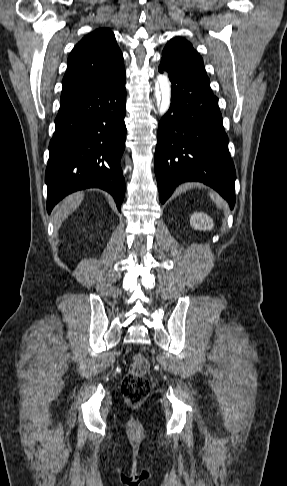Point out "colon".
Listing matches in <instances>:
<instances>
[{"instance_id": "obj_1", "label": "colon", "mask_w": 287, "mask_h": 486, "mask_svg": "<svg viewBox=\"0 0 287 486\" xmlns=\"http://www.w3.org/2000/svg\"><path fill=\"white\" fill-rule=\"evenodd\" d=\"M149 361L141 354H135L128 373L121 384V391L132 405L142 403L149 395L151 387L147 379Z\"/></svg>"}]
</instances>
